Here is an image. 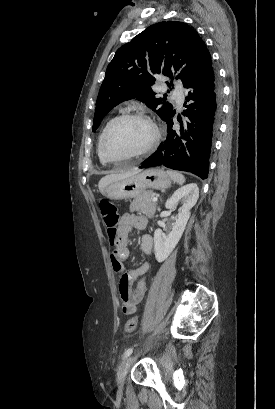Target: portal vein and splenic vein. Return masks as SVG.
<instances>
[{
	"label": "portal vein and splenic vein",
	"instance_id": "portal-vein-and-splenic-vein-1",
	"mask_svg": "<svg viewBox=\"0 0 275 409\" xmlns=\"http://www.w3.org/2000/svg\"><path fill=\"white\" fill-rule=\"evenodd\" d=\"M152 200H154V202H155V200H157V196H154V198H152Z\"/></svg>",
	"mask_w": 275,
	"mask_h": 409
}]
</instances>
